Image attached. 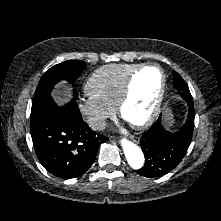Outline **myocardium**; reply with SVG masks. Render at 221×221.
<instances>
[{"label": "myocardium", "instance_id": "obj_1", "mask_svg": "<svg viewBox=\"0 0 221 221\" xmlns=\"http://www.w3.org/2000/svg\"><path fill=\"white\" fill-rule=\"evenodd\" d=\"M147 68H157L158 69V71L161 75V86H160L158 95L155 99L153 109H152L151 113L149 114V116L141 122L130 123L131 126L136 129H144V128H147L148 126H150L151 124H153L161 111L165 92H166V86H167V78H166V74H165L163 68L159 64H156V63H147V64H143V65L139 66L138 68H136L128 77V79L125 83L122 95L116 105L117 113L119 114V116L121 118L125 119L124 115H123V110L132 97L134 79L136 78V76L139 73H141L143 70H145Z\"/></svg>", "mask_w": 221, "mask_h": 221}]
</instances>
